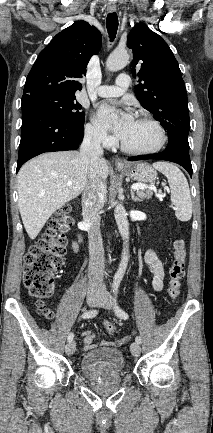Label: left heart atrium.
<instances>
[{
	"instance_id": "1",
	"label": "left heart atrium",
	"mask_w": 213,
	"mask_h": 433,
	"mask_svg": "<svg viewBox=\"0 0 213 433\" xmlns=\"http://www.w3.org/2000/svg\"><path fill=\"white\" fill-rule=\"evenodd\" d=\"M96 121L122 139L135 120L130 112L120 110L116 105L105 103L100 107Z\"/></svg>"
}]
</instances>
